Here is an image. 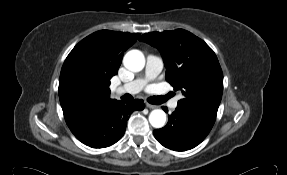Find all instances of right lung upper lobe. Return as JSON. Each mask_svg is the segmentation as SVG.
I'll return each instance as SVG.
<instances>
[{
  "instance_id": "obj_1",
  "label": "right lung upper lobe",
  "mask_w": 287,
  "mask_h": 175,
  "mask_svg": "<svg viewBox=\"0 0 287 175\" xmlns=\"http://www.w3.org/2000/svg\"><path fill=\"white\" fill-rule=\"evenodd\" d=\"M139 35L101 30L73 48L59 79V99L68 126L115 100L110 98V79L117 74L124 51Z\"/></svg>"
}]
</instances>
